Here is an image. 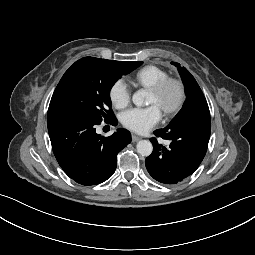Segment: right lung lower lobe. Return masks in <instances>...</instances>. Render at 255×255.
<instances>
[{"mask_svg":"<svg viewBox=\"0 0 255 255\" xmlns=\"http://www.w3.org/2000/svg\"><path fill=\"white\" fill-rule=\"evenodd\" d=\"M110 123L117 125L114 117ZM101 121L77 115L47 117L48 132L54 155L63 171L75 182L90 186L109 179L116 169L117 154L131 142L130 133L122 128L110 137L96 133Z\"/></svg>","mask_w":255,"mask_h":255,"instance_id":"98d812e1","label":"right lung lower lobe"}]
</instances>
